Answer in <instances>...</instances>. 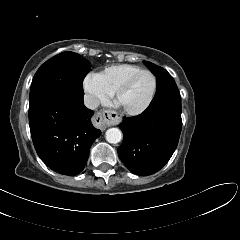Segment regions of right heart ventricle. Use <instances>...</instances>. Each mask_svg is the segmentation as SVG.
<instances>
[{
  "label": "right heart ventricle",
  "instance_id": "1",
  "mask_svg": "<svg viewBox=\"0 0 240 240\" xmlns=\"http://www.w3.org/2000/svg\"><path fill=\"white\" fill-rule=\"evenodd\" d=\"M140 70L142 68L138 65L119 64L106 67L97 76L102 85L113 94L130 76Z\"/></svg>",
  "mask_w": 240,
  "mask_h": 240
}]
</instances>
